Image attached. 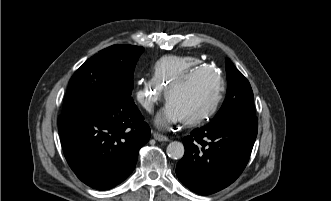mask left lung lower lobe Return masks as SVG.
Masks as SVG:
<instances>
[{"instance_id": "1", "label": "left lung lower lobe", "mask_w": 331, "mask_h": 201, "mask_svg": "<svg viewBox=\"0 0 331 201\" xmlns=\"http://www.w3.org/2000/svg\"><path fill=\"white\" fill-rule=\"evenodd\" d=\"M258 130L256 117L210 122L183 139L185 154L176 174L190 190L201 195L218 192L244 170Z\"/></svg>"}]
</instances>
